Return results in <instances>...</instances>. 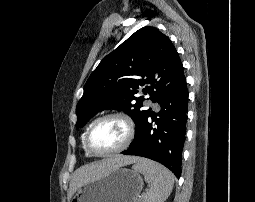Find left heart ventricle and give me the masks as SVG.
<instances>
[{
  "label": "left heart ventricle",
  "instance_id": "b2bd125f",
  "mask_svg": "<svg viewBox=\"0 0 255 202\" xmlns=\"http://www.w3.org/2000/svg\"><path fill=\"white\" fill-rule=\"evenodd\" d=\"M126 136L124 124L117 119L99 123L91 132L90 146L96 152H108L122 144Z\"/></svg>",
  "mask_w": 255,
  "mask_h": 202
}]
</instances>
